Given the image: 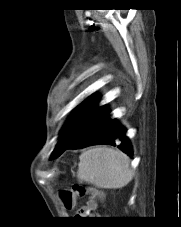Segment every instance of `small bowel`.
I'll list each match as a JSON object with an SVG mask.
<instances>
[{
	"label": "small bowel",
	"instance_id": "small-bowel-1",
	"mask_svg": "<svg viewBox=\"0 0 181 227\" xmlns=\"http://www.w3.org/2000/svg\"><path fill=\"white\" fill-rule=\"evenodd\" d=\"M97 209V204L94 201H90L87 205L83 206L79 210L80 215H88L90 212L95 211Z\"/></svg>",
	"mask_w": 181,
	"mask_h": 227
}]
</instances>
